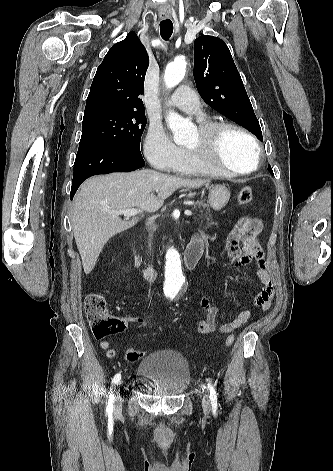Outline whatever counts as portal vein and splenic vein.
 <instances>
[{"mask_svg": "<svg viewBox=\"0 0 333 471\" xmlns=\"http://www.w3.org/2000/svg\"><path fill=\"white\" fill-rule=\"evenodd\" d=\"M116 214H119V215H124L126 217H130V216H135L137 214L140 213V210L139 209H136V208H129V209H125V210H118V211H115ZM184 214L186 216H191L192 215V212L190 210H185Z\"/></svg>", "mask_w": 333, "mask_h": 471, "instance_id": "obj_1", "label": "portal vein and splenic vein"}]
</instances>
